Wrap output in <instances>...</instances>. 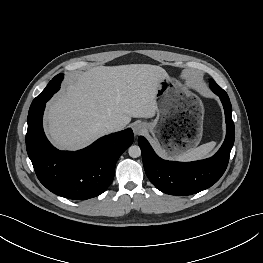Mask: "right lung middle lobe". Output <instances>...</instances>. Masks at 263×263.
<instances>
[{
  "label": "right lung middle lobe",
  "mask_w": 263,
  "mask_h": 263,
  "mask_svg": "<svg viewBox=\"0 0 263 263\" xmlns=\"http://www.w3.org/2000/svg\"><path fill=\"white\" fill-rule=\"evenodd\" d=\"M62 79L63 74L56 75L49 82L46 88L33 100L30 109H33L36 106L40 105L47 98V96L51 95L50 97H52V95L59 90Z\"/></svg>",
  "instance_id": "dd1d6c3e"
}]
</instances>
